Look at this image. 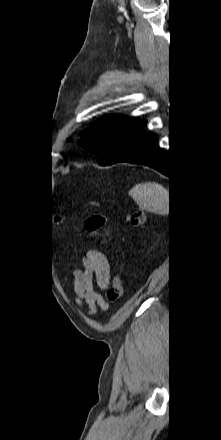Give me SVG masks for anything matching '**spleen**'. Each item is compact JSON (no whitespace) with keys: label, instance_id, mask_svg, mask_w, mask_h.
Listing matches in <instances>:
<instances>
[{"label":"spleen","instance_id":"spleen-1","mask_svg":"<svg viewBox=\"0 0 221 440\" xmlns=\"http://www.w3.org/2000/svg\"><path fill=\"white\" fill-rule=\"evenodd\" d=\"M129 195L141 210L149 213L166 214L168 212L169 192L156 182L136 184Z\"/></svg>","mask_w":221,"mask_h":440}]
</instances>
